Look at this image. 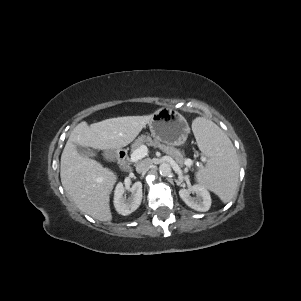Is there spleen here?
<instances>
[{"instance_id": "obj_1", "label": "spleen", "mask_w": 301, "mask_h": 301, "mask_svg": "<svg viewBox=\"0 0 301 301\" xmlns=\"http://www.w3.org/2000/svg\"><path fill=\"white\" fill-rule=\"evenodd\" d=\"M200 150L208 157L207 165L196 173L199 184L229 202L237 189L239 161L227 135L212 121L203 117L192 123Z\"/></svg>"}]
</instances>
